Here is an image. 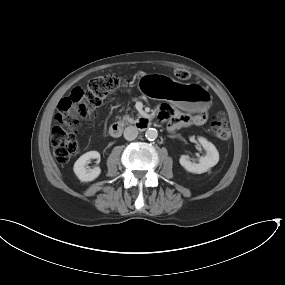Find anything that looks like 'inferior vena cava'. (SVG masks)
<instances>
[{"mask_svg":"<svg viewBox=\"0 0 285 285\" xmlns=\"http://www.w3.org/2000/svg\"><path fill=\"white\" fill-rule=\"evenodd\" d=\"M138 135V129L135 126H128L124 130V138L126 140H134Z\"/></svg>","mask_w":285,"mask_h":285,"instance_id":"obj_1","label":"inferior vena cava"}]
</instances>
